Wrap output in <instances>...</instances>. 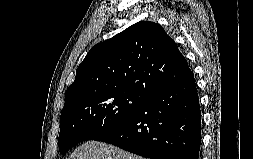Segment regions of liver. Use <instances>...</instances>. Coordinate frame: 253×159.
<instances>
[{
	"instance_id": "6515ba94",
	"label": "liver",
	"mask_w": 253,
	"mask_h": 159,
	"mask_svg": "<svg viewBox=\"0 0 253 159\" xmlns=\"http://www.w3.org/2000/svg\"><path fill=\"white\" fill-rule=\"evenodd\" d=\"M68 159H145L116 146L88 141L75 149Z\"/></svg>"
}]
</instances>
